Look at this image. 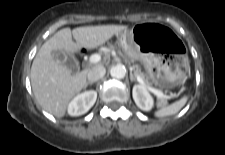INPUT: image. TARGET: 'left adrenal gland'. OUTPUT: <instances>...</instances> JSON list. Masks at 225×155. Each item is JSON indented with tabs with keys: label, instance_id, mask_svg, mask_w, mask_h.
<instances>
[{
	"label": "left adrenal gland",
	"instance_id": "a2214340",
	"mask_svg": "<svg viewBox=\"0 0 225 155\" xmlns=\"http://www.w3.org/2000/svg\"><path fill=\"white\" fill-rule=\"evenodd\" d=\"M130 80H131V82H133V81L136 82L137 81L132 72H130Z\"/></svg>",
	"mask_w": 225,
	"mask_h": 155
}]
</instances>
